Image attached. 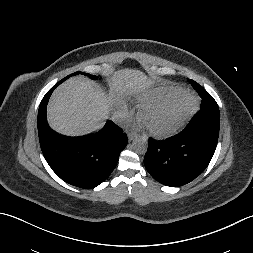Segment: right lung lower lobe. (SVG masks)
I'll return each instance as SVG.
<instances>
[{"label":"right lung lower lobe","instance_id":"98d812e1","mask_svg":"<svg viewBox=\"0 0 253 253\" xmlns=\"http://www.w3.org/2000/svg\"><path fill=\"white\" fill-rule=\"evenodd\" d=\"M53 86L38 111V135L43 155L58 177L76 187L98 186L115 168L127 136L112 121L92 136L66 137L53 132L46 120V106Z\"/></svg>","mask_w":253,"mask_h":253}]
</instances>
